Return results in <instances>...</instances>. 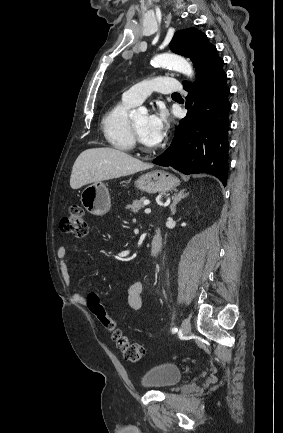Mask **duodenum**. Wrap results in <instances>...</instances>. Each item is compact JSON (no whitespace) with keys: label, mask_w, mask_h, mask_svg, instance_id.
Masks as SVG:
<instances>
[{"label":"duodenum","mask_w":283,"mask_h":433,"mask_svg":"<svg viewBox=\"0 0 283 433\" xmlns=\"http://www.w3.org/2000/svg\"><path fill=\"white\" fill-rule=\"evenodd\" d=\"M163 246V239L161 231L158 227L154 228L152 239H151V255L156 258L160 255Z\"/></svg>","instance_id":"1"}]
</instances>
